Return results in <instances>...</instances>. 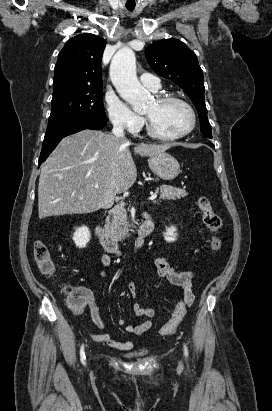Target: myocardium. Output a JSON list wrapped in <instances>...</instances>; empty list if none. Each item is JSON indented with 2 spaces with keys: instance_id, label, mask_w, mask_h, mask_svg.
Instances as JSON below:
<instances>
[{
  "instance_id": "obj_1",
  "label": "myocardium",
  "mask_w": 272,
  "mask_h": 411,
  "mask_svg": "<svg viewBox=\"0 0 272 411\" xmlns=\"http://www.w3.org/2000/svg\"><path fill=\"white\" fill-rule=\"evenodd\" d=\"M156 101L162 105L170 104V103H180L184 105L190 112L191 124L184 132L177 134V135L169 136V135H164L158 132L152 125L149 118L146 116V131L149 136H151L154 139L160 140V141L172 142V141L183 139L193 132V130L195 129L197 125V115H196L195 109L187 100H185L184 98L178 97V96H174V95H158L156 97Z\"/></svg>"
}]
</instances>
